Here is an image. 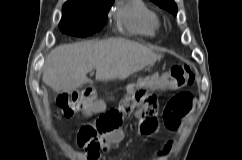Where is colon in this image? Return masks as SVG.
<instances>
[{"label":"colon","instance_id":"colon-1","mask_svg":"<svg viewBox=\"0 0 242 160\" xmlns=\"http://www.w3.org/2000/svg\"><path fill=\"white\" fill-rule=\"evenodd\" d=\"M195 76L190 65H176L161 75L152 76L143 82L133 85L123 104V109H109L101 112L98 118L79 129V138L83 146L91 149L99 147V140L106 134L115 131L122 124L123 114L134 111L143 120L141 131L154 133L158 127L156 118V92L178 91L164 110L166 124L172 127L177 118L189 112L192 106L191 95L183 89L194 83ZM99 108L96 97L91 90L64 93L57 98L58 115L72 118L78 113L94 112Z\"/></svg>","mask_w":242,"mask_h":160}]
</instances>
